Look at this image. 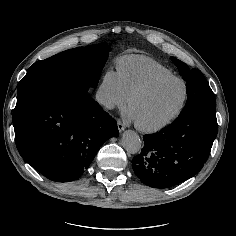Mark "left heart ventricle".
I'll return each instance as SVG.
<instances>
[{
  "label": "left heart ventricle",
  "instance_id": "1",
  "mask_svg": "<svg viewBox=\"0 0 236 236\" xmlns=\"http://www.w3.org/2000/svg\"><path fill=\"white\" fill-rule=\"evenodd\" d=\"M183 94L184 86L181 82H164L137 99L130 112L133 119L140 124L151 126L160 123L178 109Z\"/></svg>",
  "mask_w": 236,
  "mask_h": 236
}]
</instances>
